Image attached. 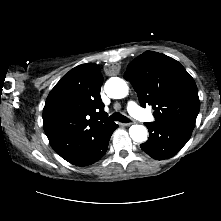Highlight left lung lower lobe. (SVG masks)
<instances>
[{"mask_svg": "<svg viewBox=\"0 0 221 221\" xmlns=\"http://www.w3.org/2000/svg\"><path fill=\"white\" fill-rule=\"evenodd\" d=\"M148 140L141 149L156 160L169 159L178 153L190 139L193 125H169L158 122L145 123Z\"/></svg>", "mask_w": 221, "mask_h": 221, "instance_id": "0a47b994", "label": "left lung lower lobe"}]
</instances>
